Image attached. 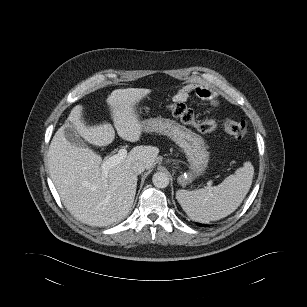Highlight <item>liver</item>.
Listing matches in <instances>:
<instances>
[{
  "mask_svg": "<svg viewBox=\"0 0 307 307\" xmlns=\"http://www.w3.org/2000/svg\"><path fill=\"white\" fill-rule=\"evenodd\" d=\"M150 93L145 88L116 89L107 98L114 127L122 139L130 142L140 139L143 129L136 105ZM82 114L83 106L76 105L55 133L48 150L49 173L64 206L75 218L90 226H108L123 220L132 208L138 181L132 165L142 162L150 169L159 149L134 147L105 177L102 157L88 147L71 144L65 129L71 126L79 137L102 147L113 142L114 128L107 122L86 125Z\"/></svg>",
  "mask_w": 307,
  "mask_h": 307,
  "instance_id": "liver-1",
  "label": "liver"
}]
</instances>
